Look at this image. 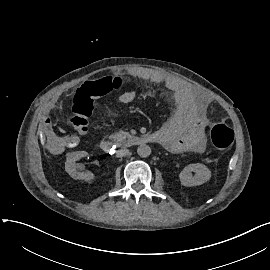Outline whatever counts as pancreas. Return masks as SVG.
Here are the masks:
<instances>
[{
  "mask_svg": "<svg viewBox=\"0 0 270 270\" xmlns=\"http://www.w3.org/2000/svg\"><path fill=\"white\" fill-rule=\"evenodd\" d=\"M128 137H130V134L124 131H120L119 133H113L109 135V139H113L117 143L124 142Z\"/></svg>",
  "mask_w": 270,
  "mask_h": 270,
  "instance_id": "cf45deb5",
  "label": "pancreas"
}]
</instances>
